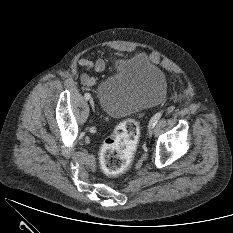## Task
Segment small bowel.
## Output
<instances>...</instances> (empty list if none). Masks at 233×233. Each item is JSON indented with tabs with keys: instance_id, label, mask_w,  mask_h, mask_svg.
Wrapping results in <instances>:
<instances>
[{
	"instance_id": "c3829d8e",
	"label": "small bowel",
	"mask_w": 233,
	"mask_h": 233,
	"mask_svg": "<svg viewBox=\"0 0 233 233\" xmlns=\"http://www.w3.org/2000/svg\"><path fill=\"white\" fill-rule=\"evenodd\" d=\"M78 63L86 70L93 69L98 73H101L105 70V62L102 59H98L96 61H92L89 59H80ZM81 81L86 86H92L95 83V78L87 73H83L81 76Z\"/></svg>"
}]
</instances>
